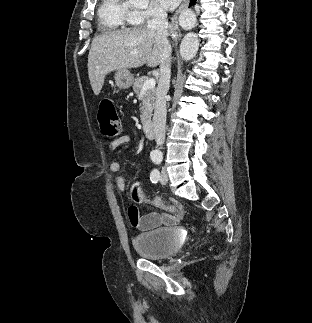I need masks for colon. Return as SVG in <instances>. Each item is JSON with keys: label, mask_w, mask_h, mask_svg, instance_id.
<instances>
[{"label": "colon", "mask_w": 312, "mask_h": 323, "mask_svg": "<svg viewBox=\"0 0 312 323\" xmlns=\"http://www.w3.org/2000/svg\"><path fill=\"white\" fill-rule=\"evenodd\" d=\"M98 125L102 136L106 138H114L121 134V121L117 115L116 108L110 98H105L99 103L98 107ZM132 182H139V179H132ZM132 195L138 202L144 203L149 201L141 195V189L134 186L131 190ZM153 206L163 208L167 211H178L179 208L172 204L166 203L158 198L151 200ZM132 215H137L136 210L132 209Z\"/></svg>", "instance_id": "obj_1"}]
</instances>
